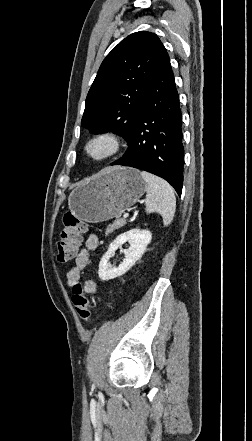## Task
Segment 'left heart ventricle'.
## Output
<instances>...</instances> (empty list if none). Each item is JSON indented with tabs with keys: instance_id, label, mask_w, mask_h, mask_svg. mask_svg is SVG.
Segmentation results:
<instances>
[{
	"instance_id": "obj_1",
	"label": "left heart ventricle",
	"mask_w": 252,
	"mask_h": 441,
	"mask_svg": "<svg viewBox=\"0 0 252 441\" xmlns=\"http://www.w3.org/2000/svg\"><path fill=\"white\" fill-rule=\"evenodd\" d=\"M107 150V144L104 142H98L92 145L91 152L94 156H100Z\"/></svg>"
}]
</instances>
